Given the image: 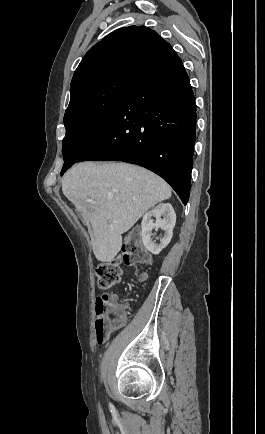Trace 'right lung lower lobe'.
<instances>
[{"label": "right lung lower lobe", "instance_id": "obj_1", "mask_svg": "<svg viewBox=\"0 0 265 434\" xmlns=\"http://www.w3.org/2000/svg\"><path fill=\"white\" fill-rule=\"evenodd\" d=\"M195 139V96L171 47L134 77L109 125L77 162L140 165L165 179L186 205Z\"/></svg>", "mask_w": 265, "mask_h": 434}]
</instances>
